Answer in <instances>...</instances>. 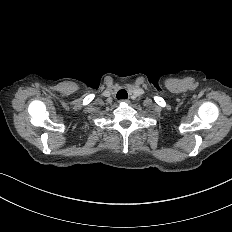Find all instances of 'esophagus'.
Instances as JSON below:
<instances>
[{
  "label": "esophagus",
  "instance_id": "1",
  "mask_svg": "<svg viewBox=\"0 0 232 232\" xmlns=\"http://www.w3.org/2000/svg\"><path fill=\"white\" fill-rule=\"evenodd\" d=\"M120 102H121V103H124V104H126V105L129 104V100H126V99H121Z\"/></svg>",
  "mask_w": 232,
  "mask_h": 232
}]
</instances>
